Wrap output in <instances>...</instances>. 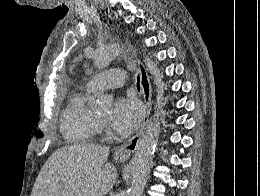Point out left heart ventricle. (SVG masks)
<instances>
[{
    "mask_svg": "<svg viewBox=\"0 0 260 196\" xmlns=\"http://www.w3.org/2000/svg\"><path fill=\"white\" fill-rule=\"evenodd\" d=\"M100 119L106 120L108 117V112L98 113L96 114Z\"/></svg>",
    "mask_w": 260,
    "mask_h": 196,
    "instance_id": "obj_1",
    "label": "left heart ventricle"
}]
</instances>
